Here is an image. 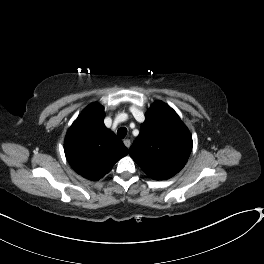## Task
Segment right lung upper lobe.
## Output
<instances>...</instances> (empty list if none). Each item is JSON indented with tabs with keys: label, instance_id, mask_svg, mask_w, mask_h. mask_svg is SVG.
Returning a JSON list of instances; mask_svg holds the SVG:
<instances>
[{
	"label": "right lung upper lobe",
	"instance_id": "obj_1",
	"mask_svg": "<svg viewBox=\"0 0 264 264\" xmlns=\"http://www.w3.org/2000/svg\"><path fill=\"white\" fill-rule=\"evenodd\" d=\"M104 108L97 103L85 108L68 130L64 151L73 170L97 181L128 154L122 141L104 125Z\"/></svg>",
	"mask_w": 264,
	"mask_h": 264
}]
</instances>
